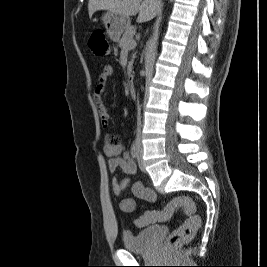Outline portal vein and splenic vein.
<instances>
[{
	"mask_svg": "<svg viewBox=\"0 0 267 267\" xmlns=\"http://www.w3.org/2000/svg\"><path fill=\"white\" fill-rule=\"evenodd\" d=\"M135 45H136V43L132 42V43H130V44L128 45V48H133V47H135Z\"/></svg>",
	"mask_w": 267,
	"mask_h": 267,
	"instance_id": "obj_1",
	"label": "portal vein and splenic vein"
}]
</instances>
